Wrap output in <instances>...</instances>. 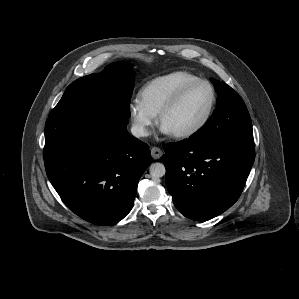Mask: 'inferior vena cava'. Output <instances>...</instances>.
Masks as SVG:
<instances>
[{"mask_svg":"<svg viewBox=\"0 0 299 299\" xmlns=\"http://www.w3.org/2000/svg\"><path fill=\"white\" fill-rule=\"evenodd\" d=\"M131 133L133 136L135 137H145L148 136V132L146 131V129L141 126V125H133L131 127Z\"/></svg>","mask_w":299,"mask_h":299,"instance_id":"inferior-vena-cava-1","label":"inferior vena cava"}]
</instances>
